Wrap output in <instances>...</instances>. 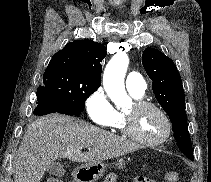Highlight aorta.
Returning a JSON list of instances; mask_svg holds the SVG:
<instances>
[{"mask_svg": "<svg viewBox=\"0 0 211 182\" xmlns=\"http://www.w3.org/2000/svg\"><path fill=\"white\" fill-rule=\"evenodd\" d=\"M128 64V56L125 53H117L109 61L104 71V89L117 107H121L130 102L124 85Z\"/></svg>", "mask_w": 211, "mask_h": 182, "instance_id": "1", "label": "aorta"}]
</instances>
